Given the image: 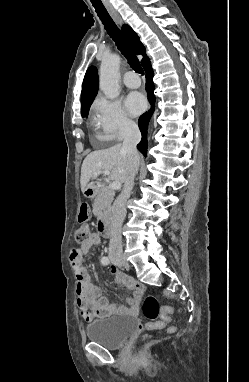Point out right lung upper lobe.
<instances>
[{
  "instance_id": "1",
  "label": "right lung upper lobe",
  "mask_w": 249,
  "mask_h": 382,
  "mask_svg": "<svg viewBox=\"0 0 249 382\" xmlns=\"http://www.w3.org/2000/svg\"><path fill=\"white\" fill-rule=\"evenodd\" d=\"M122 31L128 41L130 42L132 48L136 54L143 55L141 63H144L149 58L146 55V49L144 45L140 42L137 34L132 30L128 25H123ZM98 91V73L97 69L94 66H91L86 71L81 92V112L90 108L91 103L93 102Z\"/></svg>"
}]
</instances>
